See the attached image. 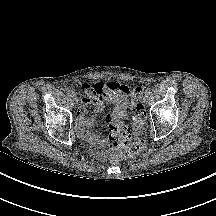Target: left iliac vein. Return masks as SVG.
Masks as SVG:
<instances>
[{
    "label": "left iliac vein",
    "instance_id": "4c4485c4",
    "mask_svg": "<svg viewBox=\"0 0 216 216\" xmlns=\"http://www.w3.org/2000/svg\"><path fill=\"white\" fill-rule=\"evenodd\" d=\"M148 100H149V96H148V94H145L144 97H143V102L147 103Z\"/></svg>",
    "mask_w": 216,
    "mask_h": 216
}]
</instances>
